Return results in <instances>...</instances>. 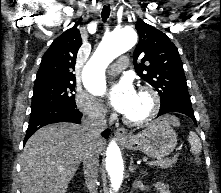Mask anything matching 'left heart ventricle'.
<instances>
[{
	"instance_id": "b2bd125f",
	"label": "left heart ventricle",
	"mask_w": 221,
	"mask_h": 193,
	"mask_svg": "<svg viewBox=\"0 0 221 193\" xmlns=\"http://www.w3.org/2000/svg\"><path fill=\"white\" fill-rule=\"evenodd\" d=\"M150 106L151 102L149 97L138 92L132 107L125 116L133 119L141 118L149 111Z\"/></svg>"
}]
</instances>
